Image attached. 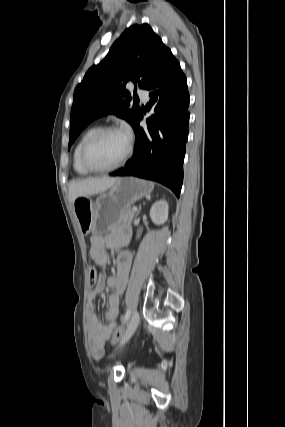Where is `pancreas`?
Wrapping results in <instances>:
<instances>
[{
    "mask_svg": "<svg viewBox=\"0 0 285 427\" xmlns=\"http://www.w3.org/2000/svg\"><path fill=\"white\" fill-rule=\"evenodd\" d=\"M133 217H134V211L131 208H128V209H126V211L122 215V220L125 223H131Z\"/></svg>",
    "mask_w": 285,
    "mask_h": 427,
    "instance_id": "1",
    "label": "pancreas"
}]
</instances>
